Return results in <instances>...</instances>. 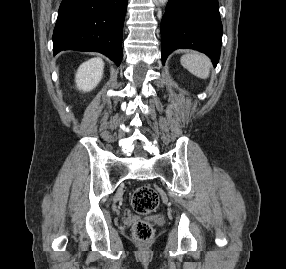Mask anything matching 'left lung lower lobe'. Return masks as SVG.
Segmentation results:
<instances>
[{
  "mask_svg": "<svg viewBox=\"0 0 286 269\" xmlns=\"http://www.w3.org/2000/svg\"><path fill=\"white\" fill-rule=\"evenodd\" d=\"M162 62L178 48H189L219 61L222 23L218 0H169L161 21Z\"/></svg>",
  "mask_w": 286,
  "mask_h": 269,
  "instance_id": "left-lung-lower-lobe-1",
  "label": "left lung lower lobe"
}]
</instances>
